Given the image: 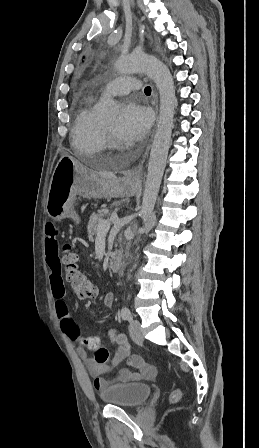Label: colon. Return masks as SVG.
<instances>
[{
  "instance_id": "obj_1",
  "label": "colon",
  "mask_w": 259,
  "mask_h": 448,
  "mask_svg": "<svg viewBox=\"0 0 259 448\" xmlns=\"http://www.w3.org/2000/svg\"><path fill=\"white\" fill-rule=\"evenodd\" d=\"M63 262L66 267V278L71 286L74 296L78 299L94 298L97 288L92 281L82 274L78 268V255L71 251L69 245H65ZM82 344L93 351V359L99 364H106L114 360L109 350L102 346L99 337L95 335L86 336L82 339ZM181 397L179 389L174 390L170 395V402L176 403Z\"/></svg>"
}]
</instances>
